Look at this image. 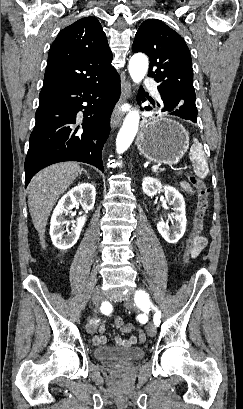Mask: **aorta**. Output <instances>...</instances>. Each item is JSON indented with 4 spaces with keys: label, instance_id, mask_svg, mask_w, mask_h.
Masks as SVG:
<instances>
[{
    "label": "aorta",
    "instance_id": "aorta-1",
    "mask_svg": "<svg viewBox=\"0 0 243 409\" xmlns=\"http://www.w3.org/2000/svg\"><path fill=\"white\" fill-rule=\"evenodd\" d=\"M129 73L134 83L139 84L148 70V58L141 53L135 54L129 61ZM140 115L138 111L127 114L116 138V151L124 153L133 142L138 131Z\"/></svg>",
    "mask_w": 243,
    "mask_h": 409
}]
</instances>
